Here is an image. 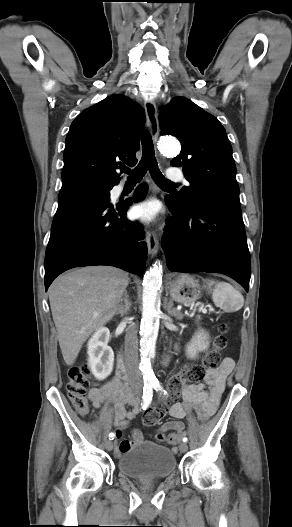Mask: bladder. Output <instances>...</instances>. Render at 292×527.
I'll list each match as a JSON object with an SVG mask.
<instances>
[{
  "label": "bladder",
  "mask_w": 292,
  "mask_h": 527,
  "mask_svg": "<svg viewBox=\"0 0 292 527\" xmlns=\"http://www.w3.org/2000/svg\"><path fill=\"white\" fill-rule=\"evenodd\" d=\"M120 473L139 480L163 479L176 469V458L166 446L151 441L133 445L117 460Z\"/></svg>",
  "instance_id": "obj_1"
}]
</instances>
